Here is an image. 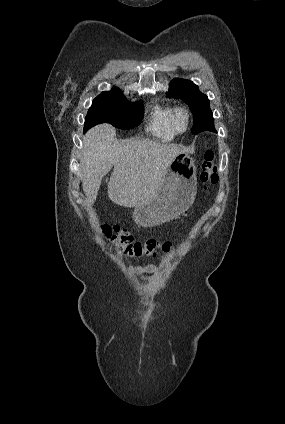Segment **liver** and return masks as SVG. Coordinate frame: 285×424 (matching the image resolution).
<instances>
[{
    "label": "liver",
    "mask_w": 285,
    "mask_h": 424,
    "mask_svg": "<svg viewBox=\"0 0 285 424\" xmlns=\"http://www.w3.org/2000/svg\"><path fill=\"white\" fill-rule=\"evenodd\" d=\"M185 150L151 140H117L115 129L101 124L83 137L80 168L85 203L96 200L103 177L112 169L109 199L120 206L139 207L153 199L171 161Z\"/></svg>",
    "instance_id": "liver-1"
}]
</instances>
